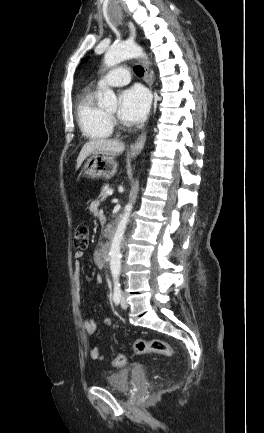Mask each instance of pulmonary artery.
<instances>
[{"instance_id":"obj_1","label":"pulmonary artery","mask_w":264,"mask_h":433,"mask_svg":"<svg viewBox=\"0 0 264 433\" xmlns=\"http://www.w3.org/2000/svg\"><path fill=\"white\" fill-rule=\"evenodd\" d=\"M130 82V75L126 68H116L111 74L100 79L98 86L110 85V86H123Z\"/></svg>"}]
</instances>
